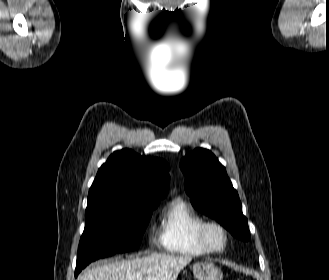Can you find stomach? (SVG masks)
<instances>
[{
    "instance_id": "stomach-1",
    "label": "stomach",
    "mask_w": 329,
    "mask_h": 280,
    "mask_svg": "<svg viewBox=\"0 0 329 280\" xmlns=\"http://www.w3.org/2000/svg\"><path fill=\"white\" fill-rule=\"evenodd\" d=\"M193 274L197 280H221L222 272L212 262H197L193 265Z\"/></svg>"
}]
</instances>
